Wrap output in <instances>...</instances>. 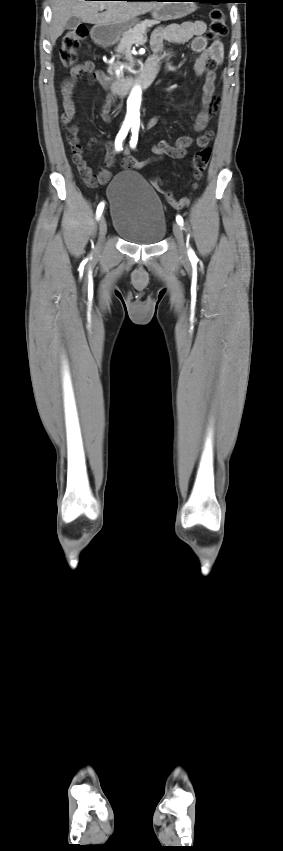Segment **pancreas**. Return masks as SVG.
I'll use <instances>...</instances> for the list:
<instances>
[{"label": "pancreas", "mask_w": 283, "mask_h": 851, "mask_svg": "<svg viewBox=\"0 0 283 851\" xmlns=\"http://www.w3.org/2000/svg\"><path fill=\"white\" fill-rule=\"evenodd\" d=\"M157 23L158 22L154 20H145L140 24H137L133 29L129 30L123 35L115 51L118 53V55H123L133 44L145 43V41L147 40V28L152 27ZM120 65L121 62L119 61L111 64L108 68V73L113 74L115 70L120 68Z\"/></svg>", "instance_id": "cf45deb5"}]
</instances>
